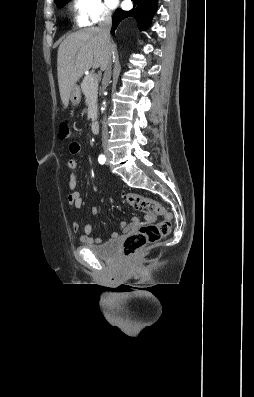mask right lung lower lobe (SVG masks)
I'll return each instance as SVG.
<instances>
[{
    "instance_id": "1",
    "label": "right lung lower lobe",
    "mask_w": 254,
    "mask_h": 397,
    "mask_svg": "<svg viewBox=\"0 0 254 397\" xmlns=\"http://www.w3.org/2000/svg\"><path fill=\"white\" fill-rule=\"evenodd\" d=\"M132 2L134 3L132 10L123 11L117 9L114 13L111 29L113 35L119 23L126 18L133 17L140 30H144L150 25L151 19L156 12L158 0H132Z\"/></svg>"
}]
</instances>
